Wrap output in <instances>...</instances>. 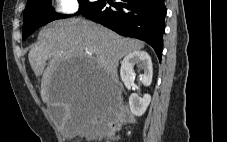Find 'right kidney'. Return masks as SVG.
Here are the masks:
<instances>
[{"instance_id":"1","label":"right kidney","mask_w":227,"mask_h":142,"mask_svg":"<svg viewBox=\"0 0 227 142\" xmlns=\"http://www.w3.org/2000/svg\"><path fill=\"white\" fill-rule=\"evenodd\" d=\"M134 66L143 70L144 73L140 75L139 80L144 86H149L152 82L153 76L151 58L145 51H134L125 56L121 62L120 76L126 88L130 90L131 88L133 89L136 87L134 84ZM150 101L151 96L149 94H145L143 97H140L138 94L132 93L129 97L131 112L135 116H142L150 104Z\"/></svg>"}]
</instances>
